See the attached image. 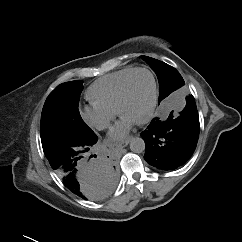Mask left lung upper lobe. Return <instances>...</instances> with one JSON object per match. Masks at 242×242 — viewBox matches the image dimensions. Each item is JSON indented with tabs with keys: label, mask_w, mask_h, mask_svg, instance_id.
I'll return each instance as SVG.
<instances>
[{
	"label": "left lung upper lobe",
	"mask_w": 242,
	"mask_h": 242,
	"mask_svg": "<svg viewBox=\"0 0 242 242\" xmlns=\"http://www.w3.org/2000/svg\"><path fill=\"white\" fill-rule=\"evenodd\" d=\"M141 57L151 66L157 75L160 85L158 104L171 92L185 84L182 76L174 67L148 56Z\"/></svg>",
	"instance_id": "5c2ea615"
}]
</instances>
